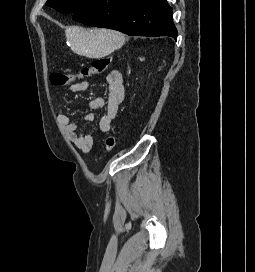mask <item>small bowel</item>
<instances>
[{
  "instance_id": "obj_1",
  "label": "small bowel",
  "mask_w": 255,
  "mask_h": 272,
  "mask_svg": "<svg viewBox=\"0 0 255 272\" xmlns=\"http://www.w3.org/2000/svg\"><path fill=\"white\" fill-rule=\"evenodd\" d=\"M89 86L87 80H80L70 87V92L73 94L86 90ZM108 97L105 101L101 97L94 98L90 101L92 109L104 108V114L98 121V128L101 132H108L111 128L112 122L124 99V83L123 74L119 70H113L107 75ZM94 115L92 113L84 116L85 121H92ZM60 125L66 133L72 144L81 152L88 153L93 145L92 135L83 133L79 130L78 122L71 120L66 114L58 116Z\"/></svg>"
}]
</instances>
